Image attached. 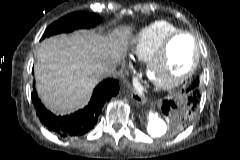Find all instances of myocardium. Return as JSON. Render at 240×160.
<instances>
[{
  "mask_svg": "<svg viewBox=\"0 0 240 160\" xmlns=\"http://www.w3.org/2000/svg\"><path fill=\"white\" fill-rule=\"evenodd\" d=\"M189 37L194 46V56L190 66L182 73L164 79L153 78L151 73L156 66L163 61L168 51L169 45L178 37ZM201 58V47L196 36L188 31H177L169 35L159 46L157 51L145 62L144 73L148 80L159 89H171L189 79L196 71Z\"/></svg>",
  "mask_w": 240,
  "mask_h": 160,
  "instance_id": "1",
  "label": "myocardium"
}]
</instances>
